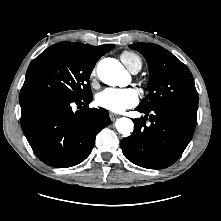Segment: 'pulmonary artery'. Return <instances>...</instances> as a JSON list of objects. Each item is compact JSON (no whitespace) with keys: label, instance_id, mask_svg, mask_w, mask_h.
I'll return each instance as SVG.
<instances>
[{"label":"pulmonary artery","instance_id":"1","mask_svg":"<svg viewBox=\"0 0 221 221\" xmlns=\"http://www.w3.org/2000/svg\"><path fill=\"white\" fill-rule=\"evenodd\" d=\"M138 71H139V69L136 68V69H133L131 72H132L133 74H136Z\"/></svg>","mask_w":221,"mask_h":221}]
</instances>
